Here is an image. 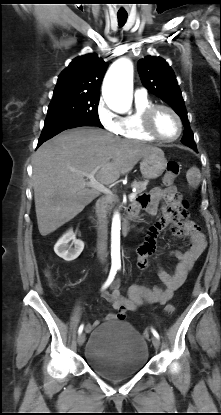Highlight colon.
<instances>
[{
  "mask_svg": "<svg viewBox=\"0 0 221 415\" xmlns=\"http://www.w3.org/2000/svg\"><path fill=\"white\" fill-rule=\"evenodd\" d=\"M180 172V164L176 161H169L166 165V172L164 175V183L167 186H170L173 181L175 180V178L178 176ZM185 202V207H187L189 209V202L187 200H183ZM175 311V306L173 304H167L164 308V313L169 315L172 314ZM145 336H149L150 335V331L146 330L144 332Z\"/></svg>",
  "mask_w": 221,
  "mask_h": 415,
  "instance_id": "5ec220e1",
  "label": "colon"
}]
</instances>
